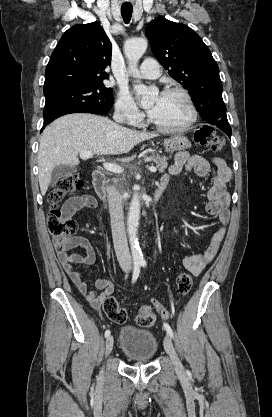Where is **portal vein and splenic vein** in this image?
Here are the masks:
<instances>
[{
  "label": "portal vein and splenic vein",
  "mask_w": 272,
  "mask_h": 417,
  "mask_svg": "<svg viewBox=\"0 0 272 417\" xmlns=\"http://www.w3.org/2000/svg\"><path fill=\"white\" fill-rule=\"evenodd\" d=\"M92 156H93V153H91L89 151H83V152L80 153V158L81 159H88ZM103 167L107 171L112 172V173H116V174H121L124 171V169L121 166H119L117 164H113V163L105 162V163H103ZM149 170L151 172H156L157 168L156 167H149Z\"/></svg>",
  "instance_id": "1"
}]
</instances>
